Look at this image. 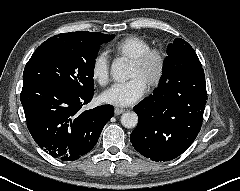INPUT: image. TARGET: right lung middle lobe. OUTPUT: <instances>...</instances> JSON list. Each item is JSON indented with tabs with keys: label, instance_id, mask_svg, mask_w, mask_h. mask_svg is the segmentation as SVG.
<instances>
[{
	"label": "right lung middle lobe",
	"instance_id": "dd1d6c3e",
	"mask_svg": "<svg viewBox=\"0 0 240 191\" xmlns=\"http://www.w3.org/2000/svg\"><path fill=\"white\" fill-rule=\"evenodd\" d=\"M113 37L92 42L49 38L26 64L23 84H49L74 94L93 92V71L99 46Z\"/></svg>",
	"mask_w": 240,
	"mask_h": 191
}]
</instances>
